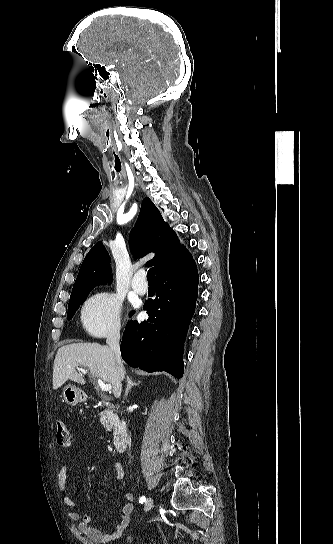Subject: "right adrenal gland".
<instances>
[{
    "label": "right adrenal gland",
    "instance_id": "right-adrenal-gland-1",
    "mask_svg": "<svg viewBox=\"0 0 333 544\" xmlns=\"http://www.w3.org/2000/svg\"><path fill=\"white\" fill-rule=\"evenodd\" d=\"M140 383H136V382H133L131 380V378L129 376H127V388H126V391H125V398L127 397L128 395V392L130 391V389L133 387V386H137L139 385Z\"/></svg>",
    "mask_w": 333,
    "mask_h": 544
}]
</instances>
